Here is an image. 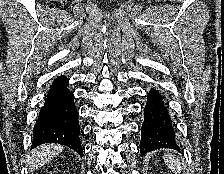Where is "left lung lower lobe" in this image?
Masks as SVG:
<instances>
[{
    "label": "left lung lower lobe",
    "mask_w": 224,
    "mask_h": 174,
    "mask_svg": "<svg viewBox=\"0 0 224 174\" xmlns=\"http://www.w3.org/2000/svg\"><path fill=\"white\" fill-rule=\"evenodd\" d=\"M143 115L140 142L143 155L159 148L179 150L169 111L158 90L149 91Z\"/></svg>",
    "instance_id": "0a47b994"
}]
</instances>
